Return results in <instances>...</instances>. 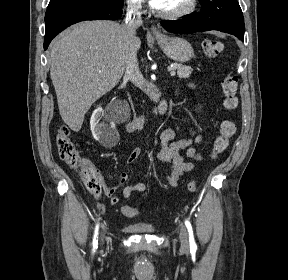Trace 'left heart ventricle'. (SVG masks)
<instances>
[{
  "instance_id": "left-heart-ventricle-1",
  "label": "left heart ventricle",
  "mask_w": 288,
  "mask_h": 280,
  "mask_svg": "<svg viewBox=\"0 0 288 280\" xmlns=\"http://www.w3.org/2000/svg\"><path fill=\"white\" fill-rule=\"evenodd\" d=\"M188 1L189 0H165V3L161 8V11L175 12L181 10L187 5Z\"/></svg>"
}]
</instances>
